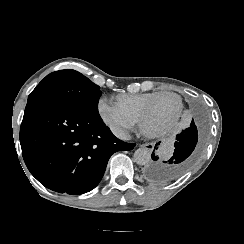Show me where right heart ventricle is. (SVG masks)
<instances>
[{"label": "right heart ventricle", "mask_w": 244, "mask_h": 244, "mask_svg": "<svg viewBox=\"0 0 244 244\" xmlns=\"http://www.w3.org/2000/svg\"><path fill=\"white\" fill-rule=\"evenodd\" d=\"M156 94H160V93L159 92H152V93L142 94L139 96L138 95H132L130 97L129 96H118L117 98L113 99V103L115 105L119 106L118 105L119 100L127 99V101H128L127 103L129 104V106L135 109V112H136L135 122H141L139 115L141 113L142 107L145 106L148 101L153 99V96ZM153 105L149 109H151L153 107ZM149 109L146 110V113ZM146 113H145L144 118L147 117Z\"/></svg>", "instance_id": "e07e8e85"}]
</instances>
